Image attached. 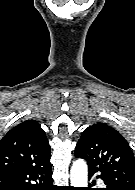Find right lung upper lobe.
Segmentation results:
<instances>
[{
	"label": "right lung upper lobe",
	"instance_id": "right-lung-upper-lobe-1",
	"mask_svg": "<svg viewBox=\"0 0 135 190\" xmlns=\"http://www.w3.org/2000/svg\"><path fill=\"white\" fill-rule=\"evenodd\" d=\"M50 163V146L44 130L35 120L11 129L0 140V170L22 166L45 167Z\"/></svg>",
	"mask_w": 135,
	"mask_h": 190
}]
</instances>
